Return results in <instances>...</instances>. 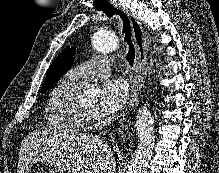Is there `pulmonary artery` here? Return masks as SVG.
<instances>
[{"label":"pulmonary artery","mask_w":219,"mask_h":173,"mask_svg":"<svg viewBox=\"0 0 219 173\" xmlns=\"http://www.w3.org/2000/svg\"><path fill=\"white\" fill-rule=\"evenodd\" d=\"M112 63L113 59L111 58L101 55L93 56L71 69L66 77L70 81L83 86L91 79L107 76L111 71Z\"/></svg>","instance_id":"obj_1"}]
</instances>
